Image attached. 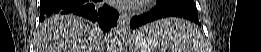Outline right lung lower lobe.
Segmentation results:
<instances>
[{
    "label": "right lung lower lobe",
    "mask_w": 261,
    "mask_h": 52,
    "mask_svg": "<svg viewBox=\"0 0 261 52\" xmlns=\"http://www.w3.org/2000/svg\"><path fill=\"white\" fill-rule=\"evenodd\" d=\"M101 0H41L40 21L54 14H74L96 22L108 32L116 26L119 14L106 4L98 5Z\"/></svg>",
    "instance_id": "obj_1"
}]
</instances>
